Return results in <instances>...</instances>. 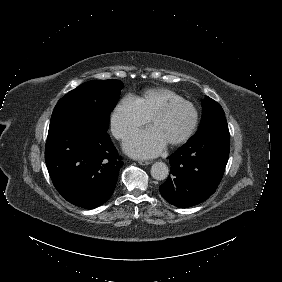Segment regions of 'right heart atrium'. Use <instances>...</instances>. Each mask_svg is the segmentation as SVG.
Here are the masks:
<instances>
[{
	"label": "right heart atrium",
	"instance_id": "d8ad5b80",
	"mask_svg": "<svg viewBox=\"0 0 282 282\" xmlns=\"http://www.w3.org/2000/svg\"><path fill=\"white\" fill-rule=\"evenodd\" d=\"M149 118L138 106L134 97H124L111 115V130L118 139H125L132 132L147 125Z\"/></svg>",
	"mask_w": 282,
	"mask_h": 282
}]
</instances>
